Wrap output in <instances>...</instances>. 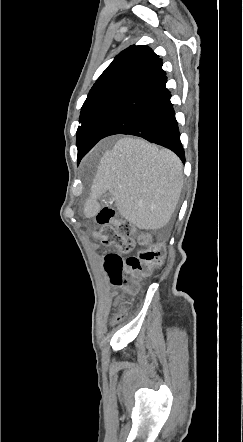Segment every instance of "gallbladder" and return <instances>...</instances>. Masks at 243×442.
Returning <instances> with one entry per match:
<instances>
[{"instance_id": "1", "label": "gallbladder", "mask_w": 243, "mask_h": 442, "mask_svg": "<svg viewBox=\"0 0 243 442\" xmlns=\"http://www.w3.org/2000/svg\"><path fill=\"white\" fill-rule=\"evenodd\" d=\"M113 200H114L113 196L109 192H107L102 197V204L106 207H109L112 205Z\"/></svg>"}]
</instances>
